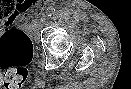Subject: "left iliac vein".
Listing matches in <instances>:
<instances>
[{"label": "left iliac vein", "mask_w": 131, "mask_h": 89, "mask_svg": "<svg viewBox=\"0 0 131 89\" xmlns=\"http://www.w3.org/2000/svg\"><path fill=\"white\" fill-rule=\"evenodd\" d=\"M45 21H46V17H42V18L40 19L39 27H41V26L44 24Z\"/></svg>", "instance_id": "left-iliac-vein-1"}]
</instances>
